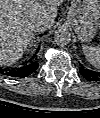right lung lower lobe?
<instances>
[{"mask_svg":"<svg viewBox=\"0 0 100 118\" xmlns=\"http://www.w3.org/2000/svg\"><path fill=\"white\" fill-rule=\"evenodd\" d=\"M39 64L36 61H31L28 65H25L16 69H1V73H4L7 76L11 77H26L32 74L37 68Z\"/></svg>","mask_w":100,"mask_h":118,"instance_id":"right-lung-lower-lobe-1","label":"right lung lower lobe"}]
</instances>
